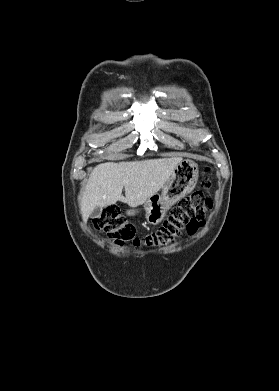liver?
I'll return each instance as SVG.
<instances>
[{
	"label": "liver",
	"mask_w": 279,
	"mask_h": 391,
	"mask_svg": "<svg viewBox=\"0 0 279 391\" xmlns=\"http://www.w3.org/2000/svg\"><path fill=\"white\" fill-rule=\"evenodd\" d=\"M182 160L181 157H173L97 165L89 176L80 202L83 221H87L96 207H107L117 201L130 207L144 204L163 188ZM123 188L125 197L122 195Z\"/></svg>",
	"instance_id": "6515ba94"
}]
</instances>
